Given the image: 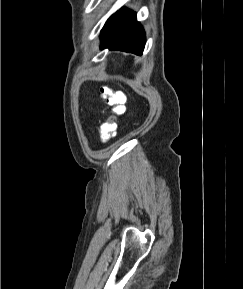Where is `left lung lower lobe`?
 Here are the masks:
<instances>
[{
  "mask_svg": "<svg viewBox=\"0 0 243 289\" xmlns=\"http://www.w3.org/2000/svg\"><path fill=\"white\" fill-rule=\"evenodd\" d=\"M101 48L121 50L142 55L145 33L136 20V14L122 8L113 14L101 30Z\"/></svg>",
  "mask_w": 243,
  "mask_h": 289,
  "instance_id": "1",
  "label": "left lung lower lobe"
}]
</instances>
